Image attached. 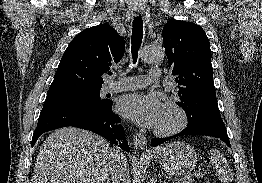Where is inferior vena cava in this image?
I'll use <instances>...</instances> for the list:
<instances>
[{
	"label": "inferior vena cava",
	"instance_id": "inferior-vena-cava-1",
	"mask_svg": "<svg viewBox=\"0 0 262 183\" xmlns=\"http://www.w3.org/2000/svg\"><path fill=\"white\" fill-rule=\"evenodd\" d=\"M108 167L112 177V183H131L128 162L122 152L112 149L109 150Z\"/></svg>",
	"mask_w": 262,
	"mask_h": 183
}]
</instances>
